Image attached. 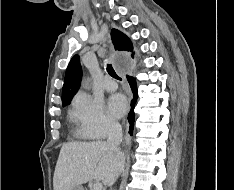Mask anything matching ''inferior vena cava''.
<instances>
[{"mask_svg":"<svg viewBox=\"0 0 234 190\" xmlns=\"http://www.w3.org/2000/svg\"><path fill=\"white\" fill-rule=\"evenodd\" d=\"M122 138H123V134H122L121 125L117 122H111L109 124V130H108L107 147L114 154L116 159L119 161L123 159V153L119 147L122 142ZM118 175H119V171L117 170L114 176L113 183L116 181Z\"/></svg>","mask_w":234,"mask_h":190,"instance_id":"602c4592","label":"inferior vena cava"}]
</instances>
